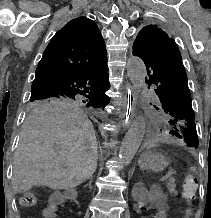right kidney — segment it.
<instances>
[{"instance_id":"ca27d5eb","label":"right kidney","mask_w":211,"mask_h":218,"mask_svg":"<svg viewBox=\"0 0 211 218\" xmlns=\"http://www.w3.org/2000/svg\"><path fill=\"white\" fill-rule=\"evenodd\" d=\"M74 198H77V192L73 188H67L65 193H49V201L45 209L47 218H59L61 213L59 206H65L66 202H71Z\"/></svg>"}]
</instances>
